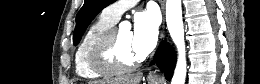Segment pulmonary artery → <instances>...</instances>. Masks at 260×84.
Segmentation results:
<instances>
[{
    "mask_svg": "<svg viewBox=\"0 0 260 84\" xmlns=\"http://www.w3.org/2000/svg\"><path fill=\"white\" fill-rule=\"evenodd\" d=\"M137 1H116L112 5L106 7L103 11L104 15L113 22H117L124 11L133 7Z\"/></svg>",
    "mask_w": 260,
    "mask_h": 84,
    "instance_id": "obj_1",
    "label": "pulmonary artery"
}]
</instances>
